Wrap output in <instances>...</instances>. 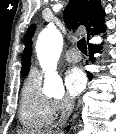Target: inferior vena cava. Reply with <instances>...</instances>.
<instances>
[{
    "label": "inferior vena cava",
    "mask_w": 116,
    "mask_h": 134,
    "mask_svg": "<svg viewBox=\"0 0 116 134\" xmlns=\"http://www.w3.org/2000/svg\"><path fill=\"white\" fill-rule=\"evenodd\" d=\"M73 108H74V100L70 97L66 98L65 107L62 110V114L57 123V126H61L66 122V120L69 118Z\"/></svg>",
    "instance_id": "obj_1"
}]
</instances>
